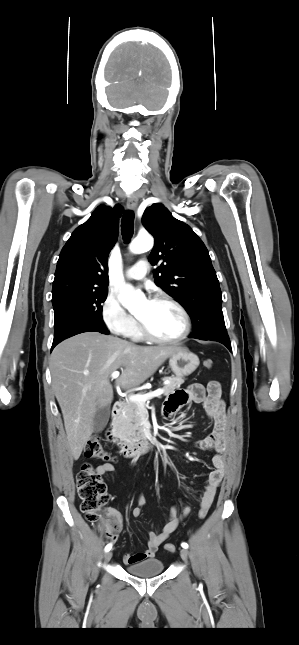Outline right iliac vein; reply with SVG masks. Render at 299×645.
<instances>
[{
    "instance_id": "63e3f726",
    "label": "right iliac vein",
    "mask_w": 299,
    "mask_h": 645,
    "mask_svg": "<svg viewBox=\"0 0 299 645\" xmlns=\"http://www.w3.org/2000/svg\"><path fill=\"white\" fill-rule=\"evenodd\" d=\"M104 558L106 561H109L112 558V551L106 552Z\"/></svg>"
}]
</instances>
